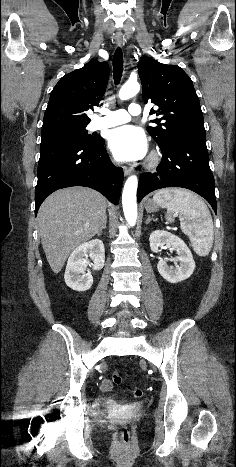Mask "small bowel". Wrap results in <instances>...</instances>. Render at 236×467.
Returning <instances> with one entry per match:
<instances>
[{
	"mask_svg": "<svg viewBox=\"0 0 236 467\" xmlns=\"http://www.w3.org/2000/svg\"><path fill=\"white\" fill-rule=\"evenodd\" d=\"M103 386H104L105 389H109V388H111V382L108 379H106L103 382Z\"/></svg>",
	"mask_w": 236,
	"mask_h": 467,
	"instance_id": "1",
	"label": "small bowel"
}]
</instances>
